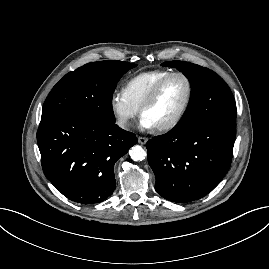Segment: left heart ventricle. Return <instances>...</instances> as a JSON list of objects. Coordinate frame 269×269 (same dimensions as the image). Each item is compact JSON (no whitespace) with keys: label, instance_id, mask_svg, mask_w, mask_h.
<instances>
[{"label":"left heart ventricle","instance_id":"left-heart-ventricle-1","mask_svg":"<svg viewBox=\"0 0 269 269\" xmlns=\"http://www.w3.org/2000/svg\"><path fill=\"white\" fill-rule=\"evenodd\" d=\"M188 94V86L180 76L169 79L161 89L158 98L144 113L154 127L171 121L182 109Z\"/></svg>","mask_w":269,"mask_h":269}]
</instances>
